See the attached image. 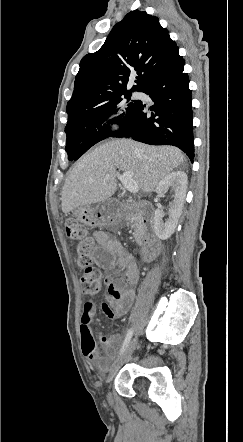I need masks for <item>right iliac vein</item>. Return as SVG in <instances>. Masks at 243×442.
Segmentation results:
<instances>
[{"instance_id": "obj_1", "label": "right iliac vein", "mask_w": 243, "mask_h": 442, "mask_svg": "<svg viewBox=\"0 0 243 442\" xmlns=\"http://www.w3.org/2000/svg\"><path fill=\"white\" fill-rule=\"evenodd\" d=\"M137 345V337L133 338L132 341L130 342V344L128 345V347L126 348V350L123 352V354L121 355V357L113 364L112 369L107 377V382H111L112 379L114 378L115 374L117 373V371L119 370L120 366L127 360L130 358V356L132 355L133 351L135 350ZM108 400H111V394L108 393L107 395Z\"/></svg>"}]
</instances>
